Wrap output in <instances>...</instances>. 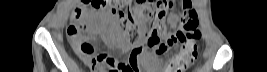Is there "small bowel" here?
<instances>
[{"mask_svg": "<svg viewBox=\"0 0 267 72\" xmlns=\"http://www.w3.org/2000/svg\"><path fill=\"white\" fill-rule=\"evenodd\" d=\"M167 22L171 29L174 30L175 40L182 41V38L180 37L182 30L181 17L177 13L172 12L168 17ZM102 25L107 27L109 31L108 37L111 39V43L113 45L120 48H126L128 46L124 36L119 34V32L116 30L114 21L110 19H104L102 21ZM95 31L98 32L100 31V29H95ZM70 46L80 57L75 47L71 43ZM175 58L176 56H169L167 54H163V52H158L157 48H155V51L153 53H147L142 50L132 51L130 53L131 67L129 70H126V72H172L171 65ZM90 67L92 68L93 72H103L97 67Z\"/></svg>", "mask_w": 267, "mask_h": 72, "instance_id": "1", "label": "small bowel"}]
</instances>
